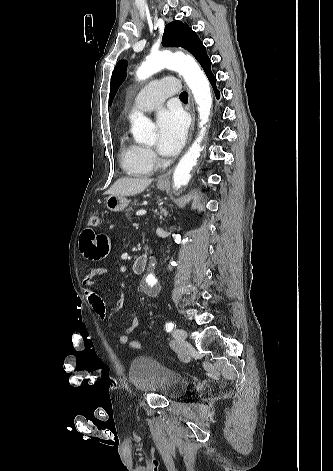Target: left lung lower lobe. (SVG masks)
Here are the masks:
<instances>
[{
  "mask_svg": "<svg viewBox=\"0 0 333 471\" xmlns=\"http://www.w3.org/2000/svg\"><path fill=\"white\" fill-rule=\"evenodd\" d=\"M200 65L202 66V68L204 69V71H205V73H206L208 79L210 80V82H211V84H212V86H213V89H214V91H215V94H216L217 99H219L220 93H219V91H218L217 88H216V78H215V76L212 74L211 69H210V67H211V61H210V59L207 57L205 60L202 61V63H200Z\"/></svg>",
  "mask_w": 333,
  "mask_h": 471,
  "instance_id": "0a47b994",
  "label": "left lung lower lobe"
}]
</instances>
